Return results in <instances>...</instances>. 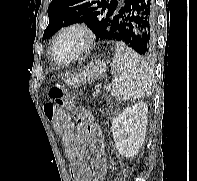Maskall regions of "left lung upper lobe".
Segmentation results:
<instances>
[{"mask_svg": "<svg viewBox=\"0 0 197 181\" xmlns=\"http://www.w3.org/2000/svg\"><path fill=\"white\" fill-rule=\"evenodd\" d=\"M120 0H53L48 7L49 25L43 39L62 27L73 23H86L100 39L114 15Z\"/></svg>", "mask_w": 197, "mask_h": 181, "instance_id": "1", "label": "left lung upper lobe"}]
</instances>
